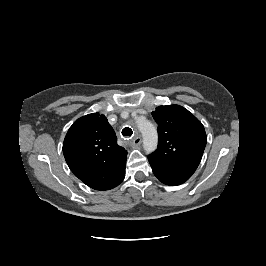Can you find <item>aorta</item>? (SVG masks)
Listing matches in <instances>:
<instances>
[{"label":"aorta","instance_id":"762f6f07","mask_svg":"<svg viewBox=\"0 0 266 266\" xmlns=\"http://www.w3.org/2000/svg\"><path fill=\"white\" fill-rule=\"evenodd\" d=\"M137 126L143 137V147L147 153H151L157 148L158 135L155 126L146 119L137 121Z\"/></svg>","mask_w":266,"mask_h":266}]
</instances>
